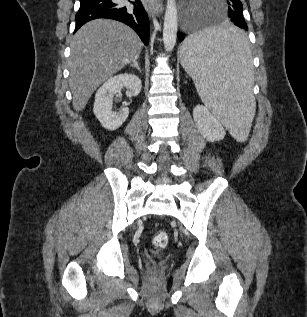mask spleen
I'll return each instance as SVG.
<instances>
[{"label": "spleen", "instance_id": "obj_1", "mask_svg": "<svg viewBox=\"0 0 307 317\" xmlns=\"http://www.w3.org/2000/svg\"><path fill=\"white\" fill-rule=\"evenodd\" d=\"M180 58L202 102L235 139L246 138L255 111L246 29L203 26L186 38Z\"/></svg>", "mask_w": 307, "mask_h": 317}]
</instances>
